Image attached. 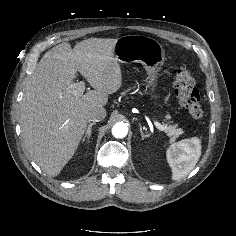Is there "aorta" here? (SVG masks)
Segmentation results:
<instances>
[{"label":"aorta","instance_id":"aorta-1","mask_svg":"<svg viewBox=\"0 0 236 236\" xmlns=\"http://www.w3.org/2000/svg\"><path fill=\"white\" fill-rule=\"evenodd\" d=\"M128 133V127L125 123H116L112 128V134L115 138H124Z\"/></svg>","mask_w":236,"mask_h":236}]
</instances>
